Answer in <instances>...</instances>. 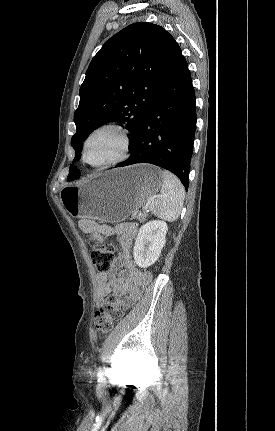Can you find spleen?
Wrapping results in <instances>:
<instances>
[{
  "mask_svg": "<svg viewBox=\"0 0 275 431\" xmlns=\"http://www.w3.org/2000/svg\"><path fill=\"white\" fill-rule=\"evenodd\" d=\"M162 178L160 195L149 204V209L155 216L173 222L180 216L185 190L180 180L171 172L162 171Z\"/></svg>",
  "mask_w": 275,
  "mask_h": 431,
  "instance_id": "obj_1",
  "label": "spleen"
}]
</instances>
